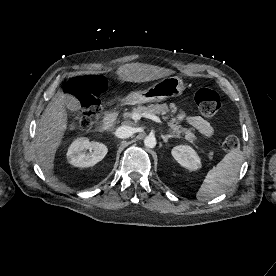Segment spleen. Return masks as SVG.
Returning <instances> with one entry per match:
<instances>
[{"instance_id":"3e777b00","label":"spleen","mask_w":276,"mask_h":276,"mask_svg":"<svg viewBox=\"0 0 276 276\" xmlns=\"http://www.w3.org/2000/svg\"><path fill=\"white\" fill-rule=\"evenodd\" d=\"M243 160L241 150L234 149L227 153L216 167L207 173L196 194L197 199L205 202L223 194L235 181Z\"/></svg>"}]
</instances>
